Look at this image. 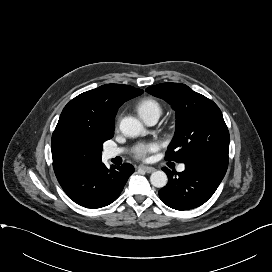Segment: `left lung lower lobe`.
Masks as SVG:
<instances>
[{
    "label": "left lung lower lobe",
    "mask_w": 272,
    "mask_h": 272,
    "mask_svg": "<svg viewBox=\"0 0 272 272\" xmlns=\"http://www.w3.org/2000/svg\"><path fill=\"white\" fill-rule=\"evenodd\" d=\"M228 158L207 157L185 163V170L172 173L166 167L169 181L159 191L160 199L176 210H188L204 204L225 176Z\"/></svg>",
    "instance_id": "0a47b994"
}]
</instances>
